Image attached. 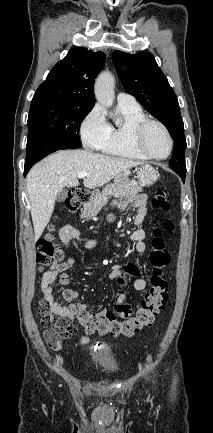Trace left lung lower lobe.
I'll list each match as a JSON object with an SVG mask.
<instances>
[{"label":"left lung lower lobe","mask_w":213,"mask_h":433,"mask_svg":"<svg viewBox=\"0 0 213 433\" xmlns=\"http://www.w3.org/2000/svg\"><path fill=\"white\" fill-rule=\"evenodd\" d=\"M177 174L181 177V179H182V181L184 183L186 173L178 172Z\"/></svg>","instance_id":"1"}]
</instances>
